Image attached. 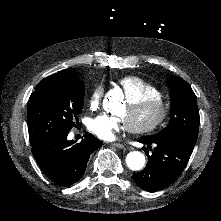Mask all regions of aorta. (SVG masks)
I'll list each match as a JSON object with an SVG mask.
<instances>
[{"label":"aorta","instance_id":"obj_1","mask_svg":"<svg viewBox=\"0 0 221 221\" xmlns=\"http://www.w3.org/2000/svg\"><path fill=\"white\" fill-rule=\"evenodd\" d=\"M126 164L129 169L139 171L145 165V156L139 151L129 152L126 156Z\"/></svg>","mask_w":221,"mask_h":221}]
</instances>
